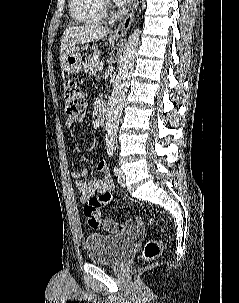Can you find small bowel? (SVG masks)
Listing matches in <instances>:
<instances>
[{
	"mask_svg": "<svg viewBox=\"0 0 239 303\" xmlns=\"http://www.w3.org/2000/svg\"><path fill=\"white\" fill-rule=\"evenodd\" d=\"M81 121H83L82 116L75 119L68 118L66 120V125L70 127ZM97 170L102 174V177L91 181L87 180L88 171L86 169L77 170L72 173L76 188L81 195L80 199L83 203L87 202L96 193L112 191L114 189V184L106 162H98ZM141 227L142 222L139 219H129L121 224L113 220H108L104 223V228L112 233L127 232L134 229H140Z\"/></svg>",
	"mask_w": 239,
	"mask_h": 303,
	"instance_id": "obj_1",
	"label": "small bowel"
}]
</instances>
